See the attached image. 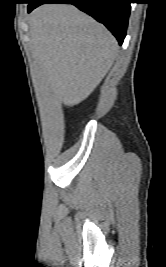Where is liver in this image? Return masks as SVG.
<instances>
[{"label": "liver", "instance_id": "1", "mask_svg": "<svg viewBox=\"0 0 166 267\" xmlns=\"http://www.w3.org/2000/svg\"><path fill=\"white\" fill-rule=\"evenodd\" d=\"M33 56L64 105L86 99L118 54L113 35L72 5L49 4L31 15Z\"/></svg>", "mask_w": 166, "mask_h": 267}]
</instances>
